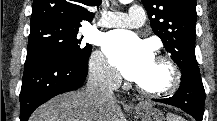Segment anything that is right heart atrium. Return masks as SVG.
I'll return each instance as SVG.
<instances>
[{"mask_svg": "<svg viewBox=\"0 0 217 121\" xmlns=\"http://www.w3.org/2000/svg\"><path fill=\"white\" fill-rule=\"evenodd\" d=\"M92 77L107 86H116L120 80L117 71L108 63L102 52H94L89 60Z\"/></svg>", "mask_w": 217, "mask_h": 121, "instance_id": "right-heart-atrium-1", "label": "right heart atrium"}]
</instances>
